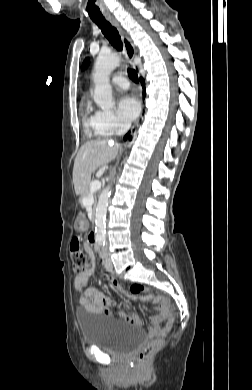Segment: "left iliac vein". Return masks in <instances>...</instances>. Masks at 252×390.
Masks as SVG:
<instances>
[{"label":"left iliac vein","instance_id":"left-iliac-vein-1","mask_svg":"<svg viewBox=\"0 0 252 390\" xmlns=\"http://www.w3.org/2000/svg\"><path fill=\"white\" fill-rule=\"evenodd\" d=\"M103 255L105 257L104 266H105L106 270L107 271H112L113 270V264H112L110 258L108 257V255L105 252H103Z\"/></svg>","mask_w":252,"mask_h":390}]
</instances>
